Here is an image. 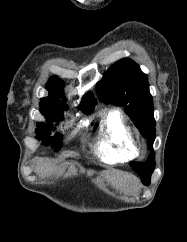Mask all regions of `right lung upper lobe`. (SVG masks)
<instances>
[{"label":"right lung upper lobe","mask_w":187,"mask_h":242,"mask_svg":"<svg viewBox=\"0 0 187 242\" xmlns=\"http://www.w3.org/2000/svg\"><path fill=\"white\" fill-rule=\"evenodd\" d=\"M46 88L49 91V96L42 98L40 102V112L45 117H58L62 115L64 110H67V104L64 101H61L59 97L63 96V82L57 77H51L46 84ZM96 104L95 98L91 93H88L84 96L79 109L83 112L91 113Z\"/></svg>","instance_id":"1"}]
</instances>
